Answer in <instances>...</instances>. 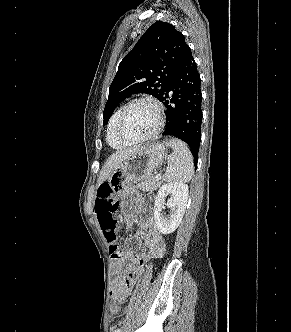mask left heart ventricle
Masks as SVG:
<instances>
[{
	"mask_svg": "<svg viewBox=\"0 0 291 332\" xmlns=\"http://www.w3.org/2000/svg\"><path fill=\"white\" fill-rule=\"evenodd\" d=\"M157 126V114L148 103H138L126 113L122 122L123 134L131 139H138L151 134Z\"/></svg>",
	"mask_w": 291,
	"mask_h": 332,
	"instance_id": "obj_1",
	"label": "left heart ventricle"
}]
</instances>
